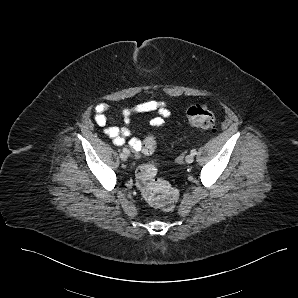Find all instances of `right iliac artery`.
Instances as JSON below:
<instances>
[{
  "label": "right iliac artery",
  "mask_w": 298,
  "mask_h": 298,
  "mask_svg": "<svg viewBox=\"0 0 298 298\" xmlns=\"http://www.w3.org/2000/svg\"><path fill=\"white\" fill-rule=\"evenodd\" d=\"M123 152H124L125 154H127V155L130 154V151H129L127 148H123Z\"/></svg>",
  "instance_id": "82829eb1"
}]
</instances>
